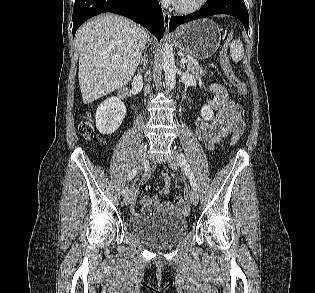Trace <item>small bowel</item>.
<instances>
[{"mask_svg": "<svg viewBox=\"0 0 315 293\" xmlns=\"http://www.w3.org/2000/svg\"><path fill=\"white\" fill-rule=\"evenodd\" d=\"M209 90L213 93L209 104L215 109V115L211 121L197 118L194 124L197 137L210 149L232 132L234 134L238 129H244V121L242 107L228 100L227 91L222 85L214 83L209 86ZM163 179L166 184L161 193L166 195L170 191V182L166 175H163ZM133 194L135 196V190ZM140 202L146 212L172 208L171 202L161 201L157 196H143Z\"/></svg>", "mask_w": 315, "mask_h": 293, "instance_id": "c3829d8e", "label": "small bowel"}]
</instances>
